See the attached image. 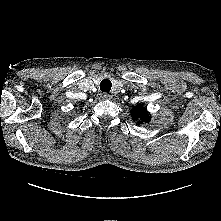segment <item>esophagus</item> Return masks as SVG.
Returning <instances> with one entry per match:
<instances>
[{"instance_id":"obj_1","label":"esophagus","mask_w":221,"mask_h":221,"mask_svg":"<svg viewBox=\"0 0 221 221\" xmlns=\"http://www.w3.org/2000/svg\"><path fill=\"white\" fill-rule=\"evenodd\" d=\"M101 97H102L103 99H111V98H112V95H110V94H108V93H102V94H101Z\"/></svg>"}]
</instances>
